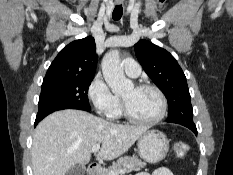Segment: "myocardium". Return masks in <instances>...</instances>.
I'll return each instance as SVG.
<instances>
[{"mask_svg": "<svg viewBox=\"0 0 233 175\" xmlns=\"http://www.w3.org/2000/svg\"><path fill=\"white\" fill-rule=\"evenodd\" d=\"M134 87L137 90L149 89V90H153L154 92H156L161 102V110L159 114L152 119H149V120L139 119V118H136L131 113L126 101L123 98H121V111L124 117L129 122L133 124H137V125H153L163 120L168 110V102H167V98L164 92L158 86L150 84V83H139V84H136Z\"/></svg>", "mask_w": 233, "mask_h": 175, "instance_id": "obj_1", "label": "myocardium"}]
</instances>
